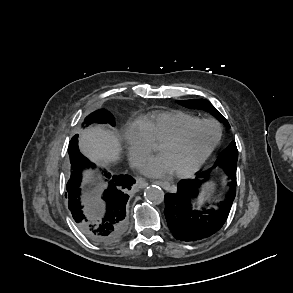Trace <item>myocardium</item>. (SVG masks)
I'll use <instances>...</instances> for the list:
<instances>
[{
    "label": "myocardium",
    "instance_id": "f54148a6",
    "mask_svg": "<svg viewBox=\"0 0 293 293\" xmlns=\"http://www.w3.org/2000/svg\"><path fill=\"white\" fill-rule=\"evenodd\" d=\"M197 124H211L214 125L217 128V135L212 144L208 147V149L202 154V156L188 169L182 170V171H176L175 175L180 178H187L194 175L208 160V158L212 155V153L216 150L218 145L220 144L221 138H222V127L221 125L213 120V119H196L186 125H184L180 130H178L173 136L165 139L161 143H159V146H168V145H174L178 142H180L185 134L195 125Z\"/></svg>",
    "mask_w": 293,
    "mask_h": 293
}]
</instances>
